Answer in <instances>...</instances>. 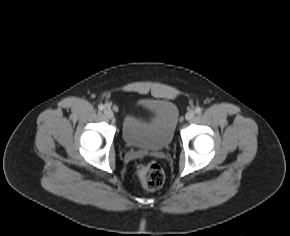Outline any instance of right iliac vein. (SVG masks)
Returning <instances> with one entry per match:
<instances>
[{"label":"right iliac vein","mask_w":290,"mask_h":236,"mask_svg":"<svg viewBox=\"0 0 290 236\" xmlns=\"http://www.w3.org/2000/svg\"><path fill=\"white\" fill-rule=\"evenodd\" d=\"M104 115L108 118V119H112L114 114L113 111L109 108H105L104 109Z\"/></svg>","instance_id":"63e3f726"}]
</instances>
